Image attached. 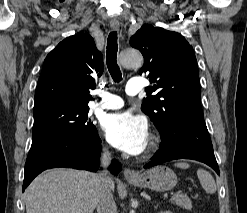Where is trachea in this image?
I'll return each mask as SVG.
<instances>
[{
  "label": "trachea",
  "instance_id": "trachea-1",
  "mask_svg": "<svg viewBox=\"0 0 247 213\" xmlns=\"http://www.w3.org/2000/svg\"><path fill=\"white\" fill-rule=\"evenodd\" d=\"M117 32H110L107 40L106 64L114 82L122 80V73L117 64Z\"/></svg>",
  "mask_w": 247,
  "mask_h": 213
}]
</instances>
